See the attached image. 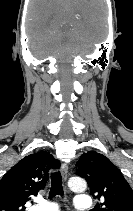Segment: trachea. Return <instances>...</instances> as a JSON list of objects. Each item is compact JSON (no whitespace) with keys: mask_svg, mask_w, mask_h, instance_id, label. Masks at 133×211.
<instances>
[{"mask_svg":"<svg viewBox=\"0 0 133 211\" xmlns=\"http://www.w3.org/2000/svg\"><path fill=\"white\" fill-rule=\"evenodd\" d=\"M63 186H62V177L60 172H53L51 174V190L49 193L50 197H55L56 195L63 196Z\"/></svg>","mask_w":133,"mask_h":211,"instance_id":"obj_1","label":"trachea"}]
</instances>
